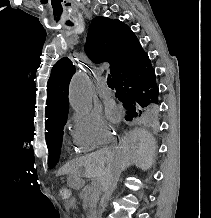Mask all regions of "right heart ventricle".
<instances>
[{
	"mask_svg": "<svg viewBox=\"0 0 211 218\" xmlns=\"http://www.w3.org/2000/svg\"><path fill=\"white\" fill-rule=\"evenodd\" d=\"M74 143H75V141H74ZM76 144V143H75ZM76 146H78L77 144H76ZM79 147V146H78ZM80 149H68L67 150V153L68 154H81L82 153V150H87V149H84V148H82V147H79ZM82 149V150H81Z\"/></svg>",
	"mask_w": 211,
	"mask_h": 218,
	"instance_id": "e07e8e85",
	"label": "right heart ventricle"
}]
</instances>
